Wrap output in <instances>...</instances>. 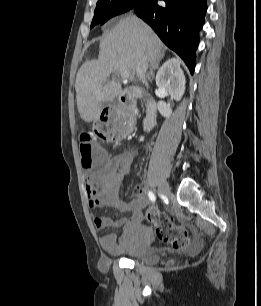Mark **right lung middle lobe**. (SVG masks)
I'll return each mask as SVG.
<instances>
[{
    "instance_id": "obj_1",
    "label": "right lung middle lobe",
    "mask_w": 261,
    "mask_h": 306,
    "mask_svg": "<svg viewBox=\"0 0 261 306\" xmlns=\"http://www.w3.org/2000/svg\"><path fill=\"white\" fill-rule=\"evenodd\" d=\"M131 8L143 0H128ZM125 0H98L94 11L91 28L97 24H104L107 20L127 10Z\"/></svg>"
}]
</instances>
